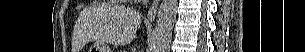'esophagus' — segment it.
<instances>
[{"instance_id": "obj_1", "label": "esophagus", "mask_w": 305, "mask_h": 52, "mask_svg": "<svg viewBox=\"0 0 305 52\" xmlns=\"http://www.w3.org/2000/svg\"><path fill=\"white\" fill-rule=\"evenodd\" d=\"M158 3H159V0H155L152 2L151 6H150L147 18L151 21L154 20L156 17L157 10H158Z\"/></svg>"}]
</instances>
